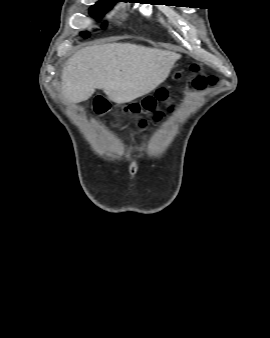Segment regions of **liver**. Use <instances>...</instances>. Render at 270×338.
<instances>
[{"label":"liver","instance_id":"6515ba94","mask_svg":"<svg viewBox=\"0 0 270 338\" xmlns=\"http://www.w3.org/2000/svg\"><path fill=\"white\" fill-rule=\"evenodd\" d=\"M179 57L175 52L130 43L83 48L64 66L63 98L79 103L89 99L95 89H103L117 104L131 102L163 83Z\"/></svg>","mask_w":270,"mask_h":338}]
</instances>
